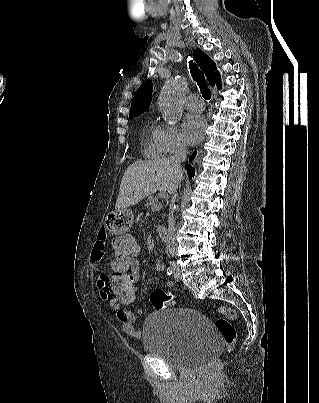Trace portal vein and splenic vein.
<instances>
[{
  "mask_svg": "<svg viewBox=\"0 0 319 403\" xmlns=\"http://www.w3.org/2000/svg\"><path fill=\"white\" fill-rule=\"evenodd\" d=\"M160 206H161V203H158L157 205L154 206V208L152 209V211H156Z\"/></svg>",
  "mask_w": 319,
  "mask_h": 403,
  "instance_id": "portal-vein-and-splenic-vein-1",
  "label": "portal vein and splenic vein"
}]
</instances>
